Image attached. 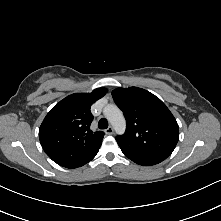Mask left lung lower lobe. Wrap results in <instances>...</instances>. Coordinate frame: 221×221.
Listing matches in <instances>:
<instances>
[{
	"instance_id": "obj_1",
	"label": "left lung lower lobe",
	"mask_w": 221,
	"mask_h": 221,
	"mask_svg": "<svg viewBox=\"0 0 221 221\" xmlns=\"http://www.w3.org/2000/svg\"><path fill=\"white\" fill-rule=\"evenodd\" d=\"M120 148L125 156H127L130 160L134 161L139 165H145V166L155 165L166 159V157L159 155L139 152L121 146Z\"/></svg>"
}]
</instances>
